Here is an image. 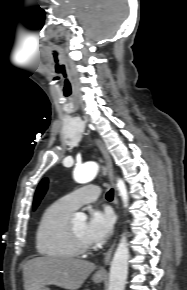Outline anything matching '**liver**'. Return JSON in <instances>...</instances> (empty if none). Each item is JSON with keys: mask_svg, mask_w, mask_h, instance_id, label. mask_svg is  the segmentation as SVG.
<instances>
[{"mask_svg": "<svg viewBox=\"0 0 187 290\" xmlns=\"http://www.w3.org/2000/svg\"><path fill=\"white\" fill-rule=\"evenodd\" d=\"M95 264L69 257H36L23 265L25 290H40L46 285H56L67 290L79 289Z\"/></svg>", "mask_w": 187, "mask_h": 290, "instance_id": "6515ba94", "label": "liver"}]
</instances>
